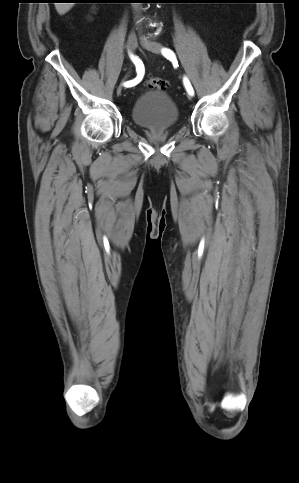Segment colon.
<instances>
[{
	"instance_id": "colon-1",
	"label": "colon",
	"mask_w": 299,
	"mask_h": 483,
	"mask_svg": "<svg viewBox=\"0 0 299 483\" xmlns=\"http://www.w3.org/2000/svg\"><path fill=\"white\" fill-rule=\"evenodd\" d=\"M146 85L158 90H166L169 87V83L166 80L158 77H149L146 80Z\"/></svg>"
}]
</instances>
